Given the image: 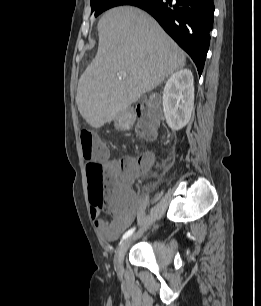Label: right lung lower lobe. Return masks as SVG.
<instances>
[{
    "mask_svg": "<svg viewBox=\"0 0 261 306\" xmlns=\"http://www.w3.org/2000/svg\"><path fill=\"white\" fill-rule=\"evenodd\" d=\"M195 62L201 75L213 26V0H136Z\"/></svg>",
    "mask_w": 261,
    "mask_h": 306,
    "instance_id": "1",
    "label": "right lung lower lobe"
}]
</instances>
